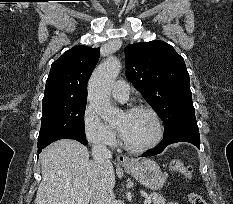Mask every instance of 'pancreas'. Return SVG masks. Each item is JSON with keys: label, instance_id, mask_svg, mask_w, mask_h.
<instances>
[{"label": "pancreas", "instance_id": "pancreas-1", "mask_svg": "<svg viewBox=\"0 0 233 204\" xmlns=\"http://www.w3.org/2000/svg\"><path fill=\"white\" fill-rule=\"evenodd\" d=\"M152 204H166L165 199L158 193H152L150 195Z\"/></svg>", "mask_w": 233, "mask_h": 204}]
</instances>
